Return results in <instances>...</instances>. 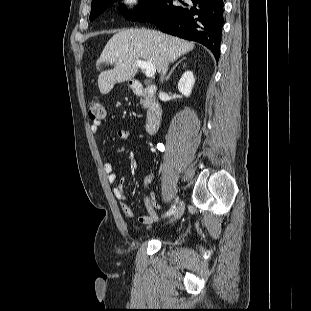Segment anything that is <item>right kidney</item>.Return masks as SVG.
<instances>
[{"mask_svg":"<svg viewBox=\"0 0 311 311\" xmlns=\"http://www.w3.org/2000/svg\"><path fill=\"white\" fill-rule=\"evenodd\" d=\"M195 79L191 71H186L178 82V90L186 97L190 96Z\"/></svg>","mask_w":311,"mask_h":311,"instance_id":"1","label":"right kidney"}]
</instances>
